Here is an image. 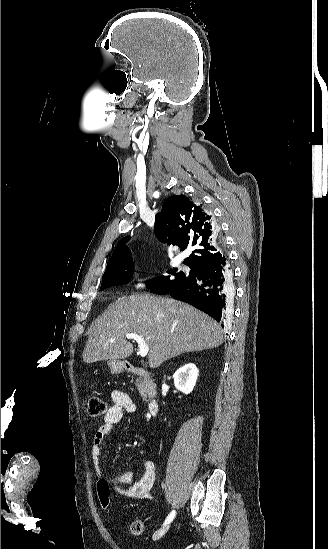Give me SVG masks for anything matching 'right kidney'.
<instances>
[{
	"mask_svg": "<svg viewBox=\"0 0 328 549\" xmlns=\"http://www.w3.org/2000/svg\"><path fill=\"white\" fill-rule=\"evenodd\" d=\"M198 377V369L194 363L180 367L173 375L174 385L178 391L189 395L193 391Z\"/></svg>",
	"mask_w": 328,
	"mask_h": 549,
	"instance_id": "obj_1",
	"label": "right kidney"
}]
</instances>
